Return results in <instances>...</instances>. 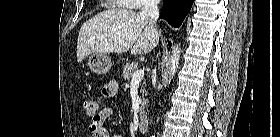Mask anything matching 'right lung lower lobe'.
I'll list each match as a JSON object with an SVG mask.
<instances>
[{"label":"right lung lower lobe","instance_id":"right-lung-lower-lobe-1","mask_svg":"<svg viewBox=\"0 0 280 137\" xmlns=\"http://www.w3.org/2000/svg\"><path fill=\"white\" fill-rule=\"evenodd\" d=\"M194 0H163L164 8L160 18L168 20L174 26L179 27L187 13L190 11ZM171 47V42H168Z\"/></svg>","mask_w":280,"mask_h":137}]
</instances>
